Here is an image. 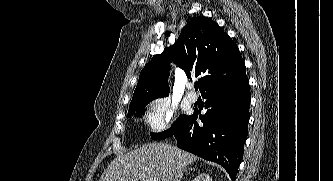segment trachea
I'll list each match as a JSON object with an SVG mask.
<instances>
[{
	"label": "trachea",
	"instance_id": "3493384b",
	"mask_svg": "<svg viewBox=\"0 0 333 181\" xmlns=\"http://www.w3.org/2000/svg\"><path fill=\"white\" fill-rule=\"evenodd\" d=\"M198 88H199V84H195V90H198Z\"/></svg>",
	"mask_w": 333,
	"mask_h": 181
}]
</instances>
